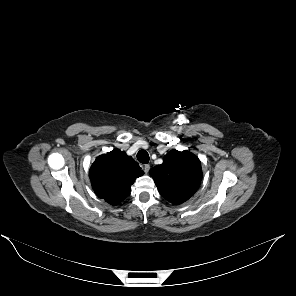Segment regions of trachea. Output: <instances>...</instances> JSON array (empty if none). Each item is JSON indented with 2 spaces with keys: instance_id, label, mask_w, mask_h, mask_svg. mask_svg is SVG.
Returning a JSON list of instances; mask_svg holds the SVG:
<instances>
[{
  "instance_id": "trachea-1",
  "label": "trachea",
  "mask_w": 296,
  "mask_h": 296,
  "mask_svg": "<svg viewBox=\"0 0 296 296\" xmlns=\"http://www.w3.org/2000/svg\"><path fill=\"white\" fill-rule=\"evenodd\" d=\"M137 159L140 163L146 164L149 162V154L145 150H140L137 153Z\"/></svg>"
}]
</instances>
